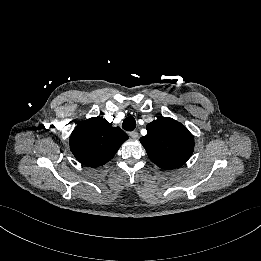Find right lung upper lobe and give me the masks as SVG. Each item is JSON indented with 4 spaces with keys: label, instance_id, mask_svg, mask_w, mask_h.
Returning <instances> with one entry per match:
<instances>
[{
    "label": "right lung upper lobe",
    "instance_id": "right-lung-upper-lobe-1",
    "mask_svg": "<svg viewBox=\"0 0 261 261\" xmlns=\"http://www.w3.org/2000/svg\"><path fill=\"white\" fill-rule=\"evenodd\" d=\"M128 135L102 117L78 123L70 137V149L83 165L98 167L110 161Z\"/></svg>",
    "mask_w": 261,
    "mask_h": 261
}]
</instances>
